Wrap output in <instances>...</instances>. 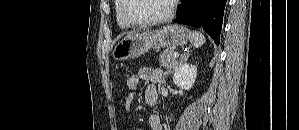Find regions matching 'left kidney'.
Returning <instances> with one entry per match:
<instances>
[{
	"mask_svg": "<svg viewBox=\"0 0 299 130\" xmlns=\"http://www.w3.org/2000/svg\"><path fill=\"white\" fill-rule=\"evenodd\" d=\"M196 76L197 67L193 64L183 63L175 69L173 82L177 87L189 91L195 83Z\"/></svg>",
	"mask_w": 299,
	"mask_h": 130,
	"instance_id": "5707ae66",
	"label": "left kidney"
}]
</instances>
